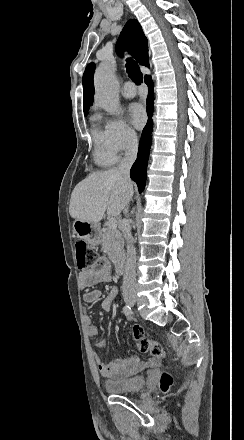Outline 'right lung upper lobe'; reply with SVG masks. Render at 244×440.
Here are the masks:
<instances>
[{"mask_svg": "<svg viewBox=\"0 0 244 440\" xmlns=\"http://www.w3.org/2000/svg\"><path fill=\"white\" fill-rule=\"evenodd\" d=\"M127 49L133 57L141 64L149 67L148 63V41L142 27L135 19L129 20L124 26L117 41L116 52L123 55V49ZM95 66L93 63L87 65L83 75V109L88 111L93 102Z\"/></svg>", "mask_w": 244, "mask_h": 440, "instance_id": "obj_1", "label": "right lung upper lobe"}]
</instances>
